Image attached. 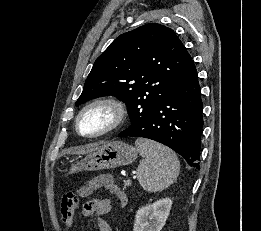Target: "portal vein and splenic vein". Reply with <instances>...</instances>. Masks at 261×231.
Listing matches in <instances>:
<instances>
[{
  "label": "portal vein and splenic vein",
  "instance_id": "portal-vein-and-splenic-vein-1",
  "mask_svg": "<svg viewBox=\"0 0 261 231\" xmlns=\"http://www.w3.org/2000/svg\"><path fill=\"white\" fill-rule=\"evenodd\" d=\"M126 183H127V184H131V180L128 179V180L126 181Z\"/></svg>",
  "mask_w": 261,
  "mask_h": 231
}]
</instances>
